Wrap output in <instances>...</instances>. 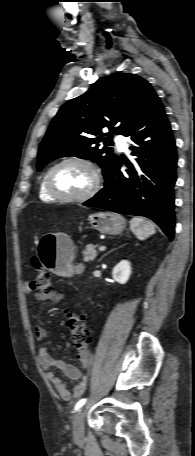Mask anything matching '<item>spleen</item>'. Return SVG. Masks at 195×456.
Masks as SVG:
<instances>
[{"label":"spleen","instance_id":"3e777b00","mask_svg":"<svg viewBox=\"0 0 195 456\" xmlns=\"http://www.w3.org/2000/svg\"><path fill=\"white\" fill-rule=\"evenodd\" d=\"M130 229L139 240H144L156 232L155 224L142 217H133L130 221Z\"/></svg>","mask_w":195,"mask_h":456}]
</instances>
